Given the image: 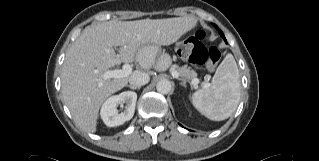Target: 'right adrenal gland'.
I'll use <instances>...</instances> for the list:
<instances>
[{
    "mask_svg": "<svg viewBox=\"0 0 319 161\" xmlns=\"http://www.w3.org/2000/svg\"><path fill=\"white\" fill-rule=\"evenodd\" d=\"M130 89L132 90H140V87H135V86H132V85H127Z\"/></svg>",
    "mask_w": 319,
    "mask_h": 161,
    "instance_id": "1",
    "label": "right adrenal gland"
}]
</instances>
